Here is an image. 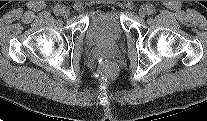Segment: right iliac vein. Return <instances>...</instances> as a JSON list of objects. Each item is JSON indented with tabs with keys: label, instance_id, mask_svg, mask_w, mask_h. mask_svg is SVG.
<instances>
[{
	"label": "right iliac vein",
	"instance_id": "obj_1",
	"mask_svg": "<svg viewBox=\"0 0 207 121\" xmlns=\"http://www.w3.org/2000/svg\"><path fill=\"white\" fill-rule=\"evenodd\" d=\"M61 15H62L64 18H67V17L70 15V11H69V9L66 8V7H62Z\"/></svg>",
	"mask_w": 207,
	"mask_h": 121
}]
</instances>
